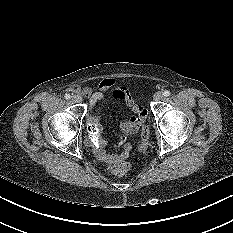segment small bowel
Returning a JSON list of instances; mask_svg holds the SVG:
<instances>
[{
	"label": "small bowel",
	"mask_w": 233,
	"mask_h": 233,
	"mask_svg": "<svg viewBox=\"0 0 233 233\" xmlns=\"http://www.w3.org/2000/svg\"><path fill=\"white\" fill-rule=\"evenodd\" d=\"M112 91V96L115 99L124 101L134 112L128 121L120 125L122 135L119 137V145H121V151L118 154H110L106 151V141L102 137L101 129L99 125V112L100 108L97 109L95 114H92L88 118V123L92 122L96 125V135L99 138L96 144V155L97 158L108 166H119L124 164L125 159L129 156L131 151V145L126 143V134L134 133L144 122L146 117V110L137 104L130 93L124 88L117 87V81L114 78H105L99 83V90L93 92L89 87L77 88V92L83 96L89 97L91 106H95L101 102H104V93L106 91Z\"/></svg>",
	"instance_id": "small-bowel-1"
}]
</instances>
